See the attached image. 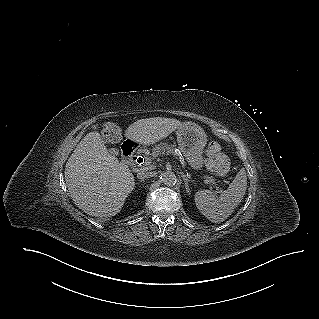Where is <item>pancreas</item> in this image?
Segmentation results:
<instances>
[{
  "mask_svg": "<svg viewBox=\"0 0 319 319\" xmlns=\"http://www.w3.org/2000/svg\"><path fill=\"white\" fill-rule=\"evenodd\" d=\"M165 154H174V146L167 143H160L152 148V158H156L159 155Z\"/></svg>",
  "mask_w": 319,
  "mask_h": 319,
  "instance_id": "cf45deb5",
  "label": "pancreas"
}]
</instances>
